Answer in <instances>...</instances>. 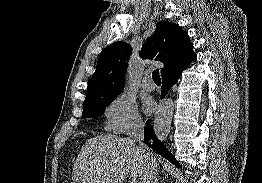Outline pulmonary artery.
<instances>
[{
	"label": "pulmonary artery",
	"instance_id": "pulmonary-artery-1",
	"mask_svg": "<svg viewBox=\"0 0 262 183\" xmlns=\"http://www.w3.org/2000/svg\"><path fill=\"white\" fill-rule=\"evenodd\" d=\"M142 88L146 91H152L155 88L154 83L151 81V78L149 75H146L142 80Z\"/></svg>",
	"mask_w": 262,
	"mask_h": 183
}]
</instances>
